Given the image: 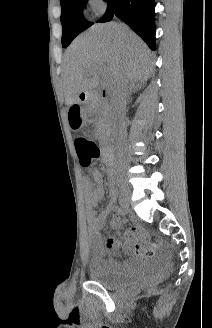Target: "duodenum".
<instances>
[{"label":"duodenum","instance_id":"410a0bca","mask_svg":"<svg viewBox=\"0 0 212 328\" xmlns=\"http://www.w3.org/2000/svg\"><path fill=\"white\" fill-rule=\"evenodd\" d=\"M100 97L101 98H109L112 97V93L107 89L103 88L100 92ZM93 99V96L90 93H85L80 97V103L84 104L89 102L90 100ZM111 151L112 148L110 145H106L103 150H102V155L106 162L109 164V173L112 172V166H111Z\"/></svg>","mask_w":212,"mask_h":328}]
</instances>
